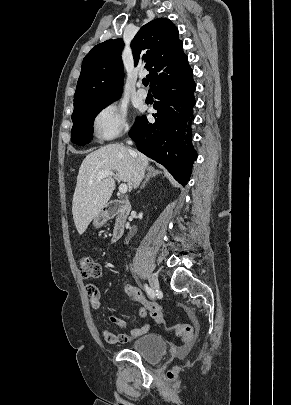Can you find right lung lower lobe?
Segmentation results:
<instances>
[{
	"label": "right lung lower lobe",
	"mask_w": 291,
	"mask_h": 405,
	"mask_svg": "<svg viewBox=\"0 0 291 405\" xmlns=\"http://www.w3.org/2000/svg\"><path fill=\"white\" fill-rule=\"evenodd\" d=\"M192 75L191 70L157 84L152 90L158 99L154 104L155 122H149L145 116L138 118L129 131L138 150L166 167L182 185L187 184L197 158L191 142L196 104Z\"/></svg>",
	"instance_id": "right-lung-lower-lobe-1"
}]
</instances>
